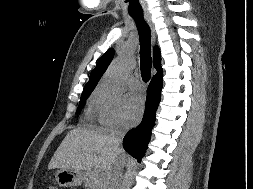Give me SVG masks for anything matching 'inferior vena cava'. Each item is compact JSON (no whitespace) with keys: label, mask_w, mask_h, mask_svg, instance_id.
<instances>
[{"label":"inferior vena cava","mask_w":253,"mask_h":189,"mask_svg":"<svg viewBox=\"0 0 253 189\" xmlns=\"http://www.w3.org/2000/svg\"><path fill=\"white\" fill-rule=\"evenodd\" d=\"M124 133V130H117L111 136L113 147L117 151L116 157L119 161H117L110 172L107 173L102 189H118L123 174V168L129 164L130 160L128 156L130 153L128 150L121 148Z\"/></svg>","instance_id":"602c4592"}]
</instances>
